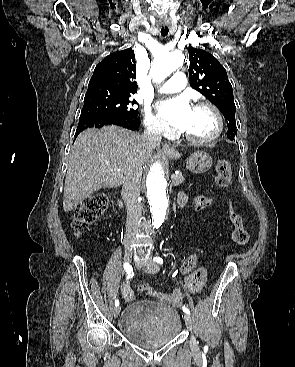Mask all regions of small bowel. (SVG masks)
<instances>
[{"label":"small bowel","mask_w":295,"mask_h":367,"mask_svg":"<svg viewBox=\"0 0 295 367\" xmlns=\"http://www.w3.org/2000/svg\"><path fill=\"white\" fill-rule=\"evenodd\" d=\"M187 200V196L184 192L178 194V202L184 204ZM200 261L199 254H191L183 263L181 272L185 278L186 287L195 292L200 293L206 286L208 280V271L205 267H198ZM122 294L124 298L128 299L131 295L129 285L122 287Z\"/></svg>","instance_id":"obj_1"}]
</instances>
